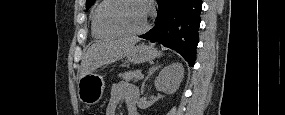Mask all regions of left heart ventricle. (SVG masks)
Returning <instances> with one entry per match:
<instances>
[{
  "label": "left heart ventricle",
  "mask_w": 285,
  "mask_h": 115,
  "mask_svg": "<svg viewBox=\"0 0 285 115\" xmlns=\"http://www.w3.org/2000/svg\"><path fill=\"white\" fill-rule=\"evenodd\" d=\"M105 19L122 30L134 32L144 26L146 9L139 1H122L105 10Z\"/></svg>",
  "instance_id": "left-heart-ventricle-1"
}]
</instances>
